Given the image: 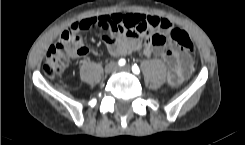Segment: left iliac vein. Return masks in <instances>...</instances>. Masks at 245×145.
<instances>
[{"instance_id":"4c4485c4","label":"left iliac vein","mask_w":245,"mask_h":145,"mask_svg":"<svg viewBox=\"0 0 245 145\" xmlns=\"http://www.w3.org/2000/svg\"><path fill=\"white\" fill-rule=\"evenodd\" d=\"M120 72H129L130 71V66H124L122 68L117 69Z\"/></svg>"}]
</instances>
